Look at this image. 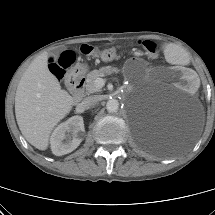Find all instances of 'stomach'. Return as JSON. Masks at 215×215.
I'll use <instances>...</instances> for the list:
<instances>
[{
	"instance_id": "obj_1",
	"label": "stomach",
	"mask_w": 215,
	"mask_h": 215,
	"mask_svg": "<svg viewBox=\"0 0 215 215\" xmlns=\"http://www.w3.org/2000/svg\"><path fill=\"white\" fill-rule=\"evenodd\" d=\"M78 70L85 72L87 70V65L85 64H80L76 67Z\"/></svg>"
}]
</instances>
